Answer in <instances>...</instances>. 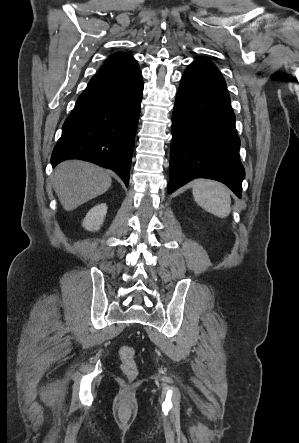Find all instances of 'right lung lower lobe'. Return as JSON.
Masks as SVG:
<instances>
[{"label": "right lung lower lobe", "mask_w": 299, "mask_h": 443, "mask_svg": "<svg viewBox=\"0 0 299 443\" xmlns=\"http://www.w3.org/2000/svg\"><path fill=\"white\" fill-rule=\"evenodd\" d=\"M142 95L139 67L94 75L64 122L52 166L86 160L115 171L128 186Z\"/></svg>", "instance_id": "1"}]
</instances>
